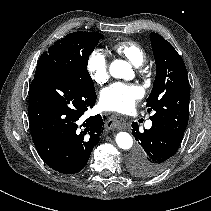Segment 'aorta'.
Returning <instances> with one entry per match:
<instances>
[{"instance_id": "obj_1", "label": "aorta", "mask_w": 211, "mask_h": 211, "mask_svg": "<svg viewBox=\"0 0 211 211\" xmlns=\"http://www.w3.org/2000/svg\"><path fill=\"white\" fill-rule=\"evenodd\" d=\"M130 65L120 59L114 60L109 67L110 75L114 78H125L130 71ZM116 143L119 148L123 150H128L132 147L133 139L131 135L127 132H119L116 135Z\"/></svg>"}]
</instances>
